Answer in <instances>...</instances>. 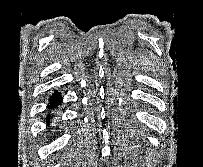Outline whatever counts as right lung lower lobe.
<instances>
[{
    "mask_svg": "<svg viewBox=\"0 0 203 167\" xmlns=\"http://www.w3.org/2000/svg\"><path fill=\"white\" fill-rule=\"evenodd\" d=\"M62 96L58 91H54L49 99L48 104V114L46 117V123L47 125L50 124L51 119L54 117V110L58 108V106L61 104Z\"/></svg>",
    "mask_w": 203,
    "mask_h": 167,
    "instance_id": "98d812e1",
    "label": "right lung lower lobe"
}]
</instances>
